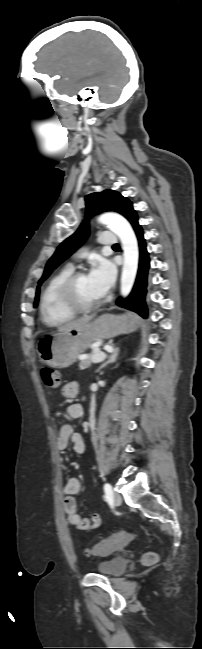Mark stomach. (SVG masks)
Returning a JSON list of instances; mask_svg holds the SVG:
<instances>
[{"mask_svg":"<svg viewBox=\"0 0 202 649\" xmlns=\"http://www.w3.org/2000/svg\"><path fill=\"white\" fill-rule=\"evenodd\" d=\"M134 317L104 314L77 329L56 332L43 337L37 345L41 361L54 368L72 365L93 342L114 337L134 329Z\"/></svg>","mask_w":202,"mask_h":649,"instance_id":"obj_1","label":"stomach"}]
</instances>
